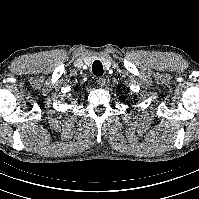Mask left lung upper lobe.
<instances>
[{
    "mask_svg": "<svg viewBox=\"0 0 199 199\" xmlns=\"http://www.w3.org/2000/svg\"><path fill=\"white\" fill-rule=\"evenodd\" d=\"M126 96L120 97L122 101H125Z\"/></svg>",
    "mask_w": 199,
    "mask_h": 199,
    "instance_id": "obj_1",
    "label": "left lung upper lobe"
}]
</instances>
